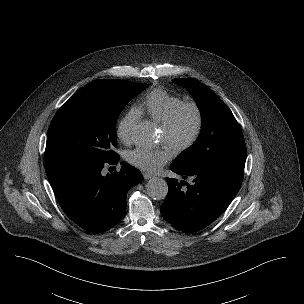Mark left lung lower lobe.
<instances>
[{
    "label": "left lung lower lobe",
    "instance_id": "0a47b994",
    "mask_svg": "<svg viewBox=\"0 0 304 304\" xmlns=\"http://www.w3.org/2000/svg\"><path fill=\"white\" fill-rule=\"evenodd\" d=\"M171 170L183 179H193L188 184L167 178L169 191L161 205L163 218L185 233L199 231L215 221L238 193L244 175V170L232 167L193 171L174 163Z\"/></svg>",
    "mask_w": 304,
    "mask_h": 304
}]
</instances>
